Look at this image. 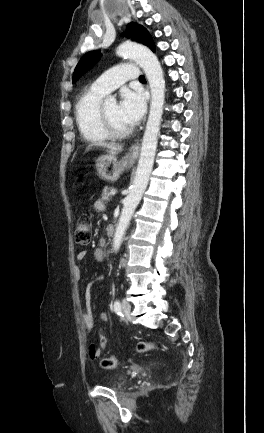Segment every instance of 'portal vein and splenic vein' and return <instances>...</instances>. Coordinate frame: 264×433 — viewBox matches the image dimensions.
Masks as SVG:
<instances>
[{
    "mask_svg": "<svg viewBox=\"0 0 264 433\" xmlns=\"http://www.w3.org/2000/svg\"><path fill=\"white\" fill-rule=\"evenodd\" d=\"M110 194H111V195H115V194H116V190H111V191H110Z\"/></svg>",
    "mask_w": 264,
    "mask_h": 433,
    "instance_id": "portal-vein-and-splenic-vein-1",
    "label": "portal vein and splenic vein"
}]
</instances>
